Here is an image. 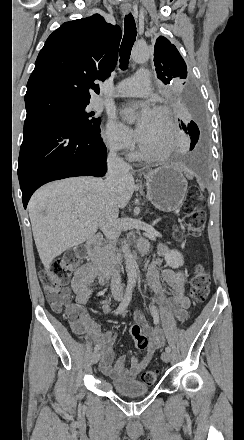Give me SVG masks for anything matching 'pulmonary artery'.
Returning a JSON list of instances; mask_svg holds the SVG:
<instances>
[{"instance_id":"obj_1","label":"pulmonary artery","mask_w":244,"mask_h":440,"mask_svg":"<svg viewBox=\"0 0 244 440\" xmlns=\"http://www.w3.org/2000/svg\"><path fill=\"white\" fill-rule=\"evenodd\" d=\"M117 88V85H114ZM149 76L147 69H138L137 75H127L126 82L123 83V90H116L112 96L114 97H141L146 96L149 91Z\"/></svg>"}]
</instances>
